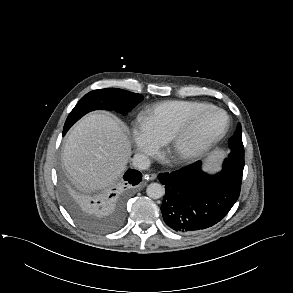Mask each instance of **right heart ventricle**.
Instances as JSON below:
<instances>
[{
  "label": "right heart ventricle",
  "mask_w": 293,
  "mask_h": 293,
  "mask_svg": "<svg viewBox=\"0 0 293 293\" xmlns=\"http://www.w3.org/2000/svg\"><path fill=\"white\" fill-rule=\"evenodd\" d=\"M210 104L192 100H169L157 103L143 113V120L163 141L194 112Z\"/></svg>",
  "instance_id": "right-heart-ventricle-1"
}]
</instances>
